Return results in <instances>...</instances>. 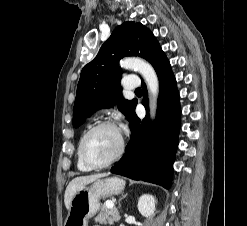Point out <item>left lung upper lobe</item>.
Masks as SVG:
<instances>
[{
  "label": "left lung upper lobe",
  "mask_w": 247,
  "mask_h": 226,
  "mask_svg": "<svg viewBox=\"0 0 247 226\" xmlns=\"http://www.w3.org/2000/svg\"><path fill=\"white\" fill-rule=\"evenodd\" d=\"M161 47L153 33L141 23L124 22L115 28L97 56L84 66L77 86L73 126L84 123L98 108H108L118 99V109L130 120L136 99L122 98L118 61L125 56H139L152 62Z\"/></svg>",
  "instance_id": "1"
}]
</instances>
